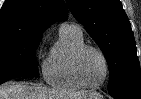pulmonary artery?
Segmentation results:
<instances>
[{
	"label": "pulmonary artery",
	"instance_id": "pulmonary-artery-1",
	"mask_svg": "<svg viewBox=\"0 0 141 99\" xmlns=\"http://www.w3.org/2000/svg\"><path fill=\"white\" fill-rule=\"evenodd\" d=\"M63 31L82 33L81 28L76 24H62L60 27V32H63Z\"/></svg>",
	"mask_w": 141,
	"mask_h": 99
}]
</instances>
